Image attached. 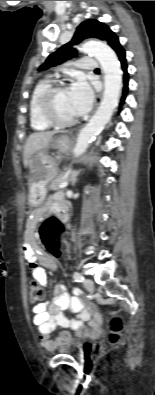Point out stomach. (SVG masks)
<instances>
[{"label":"stomach","instance_id":"1","mask_svg":"<svg viewBox=\"0 0 155 395\" xmlns=\"http://www.w3.org/2000/svg\"><path fill=\"white\" fill-rule=\"evenodd\" d=\"M52 146L60 152H66L70 146V139L65 135L58 136L52 140ZM27 168L30 177L29 204L38 207L45 200L47 184L58 174V164L46 150H41L28 160Z\"/></svg>","mask_w":155,"mask_h":395}]
</instances>
